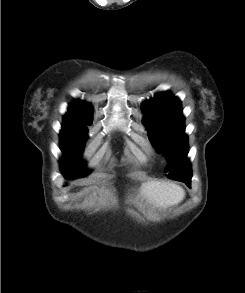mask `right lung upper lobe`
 <instances>
[{"label":"right lung upper lobe","mask_w":245,"mask_h":293,"mask_svg":"<svg viewBox=\"0 0 245 293\" xmlns=\"http://www.w3.org/2000/svg\"><path fill=\"white\" fill-rule=\"evenodd\" d=\"M92 124L91 105L75 101L69 105L68 114L64 117L62 127L87 128L86 125Z\"/></svg>","instance_id":"right-lung-upper-lobe-1"}]
</instances>
